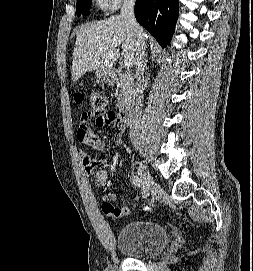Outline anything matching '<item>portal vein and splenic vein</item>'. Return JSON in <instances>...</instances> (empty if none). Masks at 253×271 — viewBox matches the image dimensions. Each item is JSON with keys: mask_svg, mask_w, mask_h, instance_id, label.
Returning a JSON list of instances; mask_svg holds the SVG:
<instances>
[{"mask_svg": "<svg viewBox=\"0 0 253 271\" xmlns=\"http://www.w3.org/2000/svg\"><path fill=\"white\" fill-rule=\"evenodd\" d=\"M123 64L125 67L129 68L133 66V61L131 59H125Z\"/></svg>", "mask_w": 253, "mask_h": 271, "instance_id": "1", "label": "portal vein and splenic vein"}]
</instances>
